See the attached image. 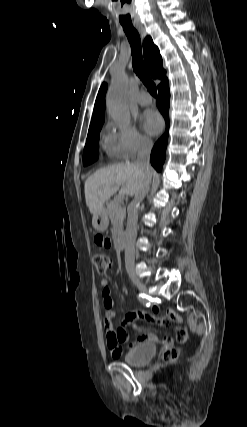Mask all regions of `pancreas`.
<instances>
[{
  "mask_svg": "<svg viewBox=\"0 0 247 427\" xmlns=\"http://www.w3.org/2000/svg\"><path fill=\"white\" fill-rule=\"evenodd\" d=\"M107 214L110 217L112 223H114L117 228L123 230V221L125 219V206L122 201L112 200L107 204Z\"/></svg>",
  "mask_w": 247,
  "mask_h": 427,
  "instance_id": "pancreas-1",
  "label": "pancreas"
}]
</instances>
